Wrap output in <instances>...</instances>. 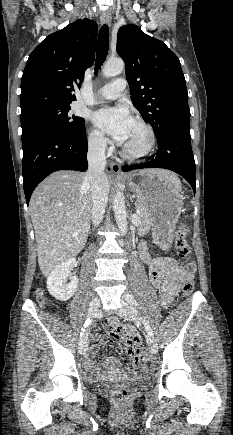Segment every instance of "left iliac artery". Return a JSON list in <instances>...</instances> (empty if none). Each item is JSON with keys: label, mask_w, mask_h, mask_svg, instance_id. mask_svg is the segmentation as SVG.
<instances>
[{"label": "left iliac artery", "mask_w": 233, "mask_h": 435, "mask_svg": "<svg viewBox=\"0 0 233 435\" xmlns=\"http://www.w3.org/2000/svg\"><path fill=\"white\" fill-rule=\"evenodd\" d=\"M126 300L131 305L138 306L137 301L134 299V297L132 295H126ZM144 322H145V328H146L148 334L153 336V331H152L149 323L146 320H144Z\"/></svg>", "instance_id": "left-iliac-artery-1"}]
</instances>
